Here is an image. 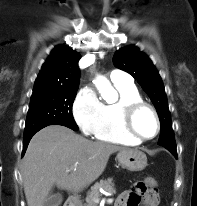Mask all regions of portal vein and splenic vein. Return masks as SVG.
Returning <instances> with one entry per match:
<instances>
[{
  "instance_id": "18ae733b",
  "label": "portal vein and splenic vein",
  "mask_w": 197,
  "mask_h": 206,
  "mask_svg": "<svg viewBox=\"0 0 197 206\" xmlns=\"http://www.w3.org/2000/svg\"><path fill=\"white\" fill-rule=\"evenodd\" d=\"M72 169H69V170H67V171H71ZM107 202L108 203H112L113 202V199L112 198H109L108 200H107Z\"/></svg>"
}]
</instances>
